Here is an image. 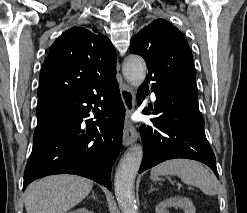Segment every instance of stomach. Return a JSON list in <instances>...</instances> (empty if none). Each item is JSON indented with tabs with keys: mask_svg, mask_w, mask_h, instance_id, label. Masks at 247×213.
Masks as SVG:
<instances>
[{
	"mask_svg": "<svg viewBox=\"0 0 247 213\" xmlns=\"http://www.w3.org/2000/svg\"><path fill=\"white\" fill-rule=\"evenodd\" d=\"M151 178H152L153 180H156V179H157V177H156V176H152Z\"/></svg>",
	"mask_w": 247,
	"mask_h": 213,
	"instance_id": "1",
	"label": "stomach"
}]
</instances>
